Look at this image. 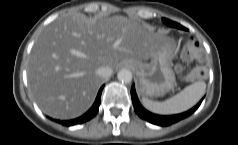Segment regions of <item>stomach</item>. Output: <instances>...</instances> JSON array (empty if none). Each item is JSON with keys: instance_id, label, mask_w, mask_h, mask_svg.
I'll use <instances>...</instances> for the list:
<instances>
[{"instance_id": "obj_1", "label": "stomach", "mask_w": 238, "mask_h": 145, "mask_svg": "<svg viewBox=\"0 0 238 145\" xmlns=\"http://www.w3.org/2000/svg\"><path fill=\"white\" fill-rule=\"evenodd\" d=\"M174 44L167 41L164 47L151 57L150 62L140 61V68L136 72L138 89L144 97L162 96L175 85V74L172 70Z\"/></svg>"}]
</instances>
